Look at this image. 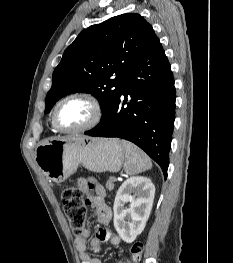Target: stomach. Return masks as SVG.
Masks as SVG:
<instances>
[{
  "label": "stomach",
  "instance_id": "0dacf381",
  "mask_svg": "<svg viewBox=\"0 0 233 263\" xmlns=\"http://www.w3.org/2000/svg\"><path fill=\"white\" fill-rule=\"evenodd\" d=\"M125 154L119 139L66 136L41 143L35 150V161L48 179L61 183L79 164L93 172H118Z\"/></svg>",
  "mask_w": 233,
  "mask_h": 263
}]
</instances>
